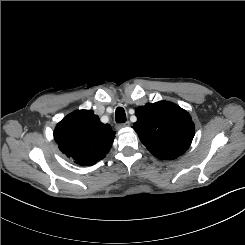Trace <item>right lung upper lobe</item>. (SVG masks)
I'll list each match as a JSON object with an SVG mask.
<instances>
[{
	"label": "right lung upper lobe",
	"instance_id": "1",
	"mask_svg": "<svg viewBox=\"0 0 245 245\" xmlns=\"http://www.w3.org/2000/svg\"><path fill=\"white\" fill-rule=\"evenodd\" d=\"M115 132L92 110L75 111L60 121L54 139L60 151L81 166L103 159L114 141Z\"/></svg>",
	"mask_w": 245,
	"mask_h": 245
}]
</instances>
